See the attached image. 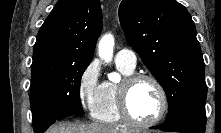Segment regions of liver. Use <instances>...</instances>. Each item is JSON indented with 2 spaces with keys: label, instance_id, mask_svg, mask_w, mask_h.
<instances>
[{
  "label": "liver",
  "instance_id": "obj_1",
  "mask_svg": "<svg viewBox=\"0 0 221 133\" xmlns=\"http://www.w3.org/2000/svg\"><path fill=\"white\" fill-rule=\"evenodd\" d=\"M137 129L100 123L60 122L50 127L46 133H139Z\"/></svg>",
  "mask_w": 221,
  "mask_h": 133
}]
</instances>
